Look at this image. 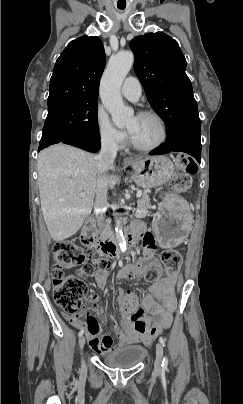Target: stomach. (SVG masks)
<instances>
[{
    "label": "stomach",
    "instance_id": "1",
    "mask_svg": "<svg viewBox=\"0 0 243 404\" xmlns=\"http://www.w3.org/2000/svg\"><path fill=\"white\" fill-rule=\"evenodd\" d=\"M133 179L143 188H155L169 182L174 175V164L165 156L145 157L134 161ZM192 224L188 203L180 196L166 195L153 226L163 248H174L183 242Z\"/></svg>",
    "mask_w": 243,
    "mask_h": 404
}]
</instances>
